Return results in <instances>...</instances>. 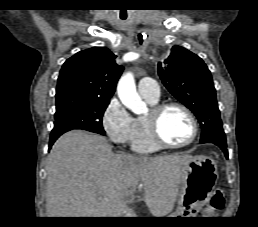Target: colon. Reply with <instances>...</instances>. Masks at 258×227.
I'll list each match as a JSON object with an SVG mask.
<instances>
[{
	"instance_id": "colon-1",
	"label": "colon",
	"mask_w": 258,
	"mask_h": 227,
	"mask_svg": "<svg viewBox=\"0 0 258 227\" xmlns=\"http://www.w3.org/2000/svg\"><path fill=\"white\" fill-rule=\"evenodd\" d=\"M225 203L223 191L221 189H216L212 196L210 197L208 203V212L219 211L223 208Z\"/></svg>"
}]
</instances>
